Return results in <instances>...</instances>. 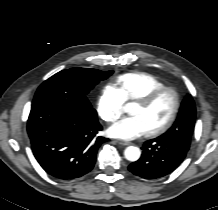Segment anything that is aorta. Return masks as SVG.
Returning a JSON list of instances; mask_svg holds the SVG:
<instances>
[{
    "label": "aorta",
    "mask_w": 218,
    "mask_h": 210,
    "mask_svg": "<svg viewBox=\"0 0 218 210\" xmlns=\"http://www.w3.org/2000/svg\"><path fill=\"white\" fill-rule=\"evenodd\" d=\"M131 103L127 104L125 107V110L128 112L131 108ZM141 151L138 147L135 146H129L124 151V156L127 160L134 162L137 161L140 158Z\"/></svg>",
    "instance_id": "obj_1"
}]
</instances>
